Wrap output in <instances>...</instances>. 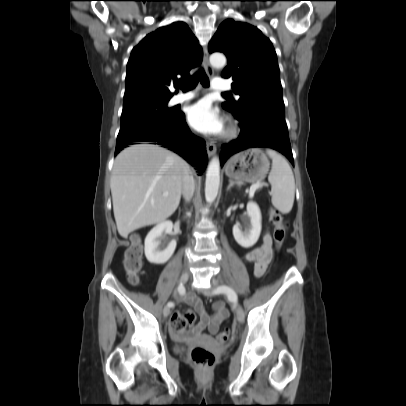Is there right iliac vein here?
Instances as JSON below:
<instances>
[{"instance_id": "63e3f726", "label": "right iliac vein", "mask_w": 406, "mask_h": 406, "mask_svg": "<svg viewBox=\"0 0 406 406\" xmlns=\"http://www.w3.org/2000/svg\"><path fill=\"white\" fill-rule=\"evenodd\" d=\"M189 279V273L187 271L183 272L181 277H180V283L185 284ZM170 314V307L165 306L163 309V316L167 317Z\"/></svg>"}]
</instances>
